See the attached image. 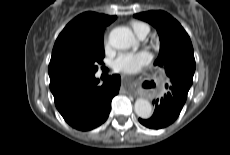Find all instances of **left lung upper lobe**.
Masks as SVG:
<instances>
[{
    "label": "left lung upper lobe",
    "mask_w": 230,
    "mask_h": 155,
    "mask_svg": "<svg viewBox=\"0 0 230 155\" xmlns=\"http://www.w3.org/2000/svg\"><path fill=\"white\" fill-rule=\"evenodd\" d=\"M134 17L150 23L158 31L161 46L154 64L164 67L170 79H179L192 85L194 51L190 37L181 24L164 11L142 12Z\"/></svg>",
    "instance_id": "obj_1"
}]
</instances>
